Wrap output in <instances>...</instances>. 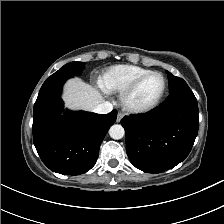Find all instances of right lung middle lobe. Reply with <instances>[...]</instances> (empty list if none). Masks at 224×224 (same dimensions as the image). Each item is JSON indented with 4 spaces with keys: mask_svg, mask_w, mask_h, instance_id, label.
Masks as SVG:
<instances>
[{
    "mask_svg": "<svg viewBox=\"0 0 224 224\" xmlns=\"http://www.w3.org/2000/svg\"><path fill=\"white\" fill-rule=\"evenodd\" d=\"M85 63L83 62H71L64 65L54 74L57 75H79L84 68Z\"/></svg>",
    "mask_w": 224,
    "mask_h": 224,
    "instance_id": "1",
    "label": "right lung middle lobe"
}]
</instances>
